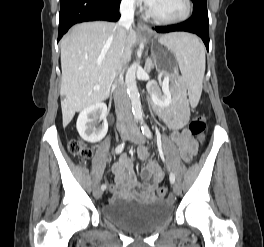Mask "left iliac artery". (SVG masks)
Here are the masks:
<instances>
[{
  "label": "left iliac artery",
  "mask_w": 264,
  "mask_h": 247,
  "mask_svg": "<svg viewBox=\"0 0 264 247\" xmlns=\"http://www.w3.org/2000/svg\"><path fill=\"white\" fill-rule=\"evenodd\" d=\"M140 124H141V130H142V133L143 135H145L147 138H152V133H151V130L150 128L147 126V124L145 123L144 120H141L140 121ZM170 182L173 184L175 182V175L174 173H170Z\"/></svg>",
  "instance_id": "left-iliac-artery-1"
}]
</instances>
